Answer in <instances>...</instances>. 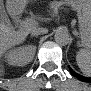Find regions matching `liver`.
<instances>
[{
    "label": "liver",
    "mask_w": 91,
    "mask_h": 91,
    "mask_svg": "<svg viewBox=\"0 0 91 91\" xmlns=\"http://www.w3.org/2000/svg\"><path fill=\"white\" fill-rule=\"evenodd\" d=\"M60 4L61 3H58L57 6H59ZM3 19L5 22H7V24H5L4 22H2L1 24V53H4L8 48L14 45L24 42L31 30L37 26V22L33 19H30L26 22H23L20 29L18 31H15L14 28L11 26L10 22L8 21L7 15H4ZM34 52L35 48L30 50L18 66H23L28 62L32 61L34 57Z\"/></svg>",
    "instance_id": "obj_1"
}]
</instances>
